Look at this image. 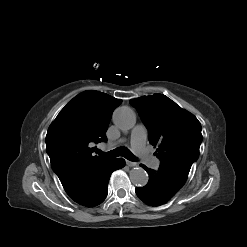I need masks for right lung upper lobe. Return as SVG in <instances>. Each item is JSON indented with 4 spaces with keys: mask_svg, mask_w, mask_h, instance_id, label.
<instances>
[{
    "mask_svg": "<svg viewBox=\"0 0 247 247\" xmlns=\"http://www.w3.org/2000/svg\"><path fill=\"white\" fill-rule=\"evenodd\" d=\"M121 102L99 91H85L73 98L50 125L46 151L63 187L111 160L92 154V145L106 141L112 112Z\"/></svg>",
    "mask_w": 247,
    "mask_h": 247,
    "instance_id": "right-lung-upper-lobe-1",
    "label": "right lung upper lobe"
}]
</instances>
